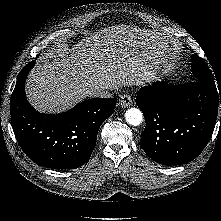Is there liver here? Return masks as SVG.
Returning <instances> with one entry per match:
<instances>
[{
    "mask_svg": "<svg viewBox=\"0 0 221 221\" xmlns=\"http://www.w3.org/2000/svg\"><path fill=\"white\" fill-rule=\"evenodd\" d=\"M62 51L43 56L28 76L27 98L40 112L68 110L97 87L143 85L171 59L153 32L124 25L105 28Z\"/></svg>",
    "mask_w": 221,
    "mask_h": 221,
    "instance_id": "liver-1",
    "label": "liver"
}]
</instances>
